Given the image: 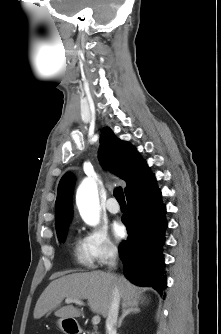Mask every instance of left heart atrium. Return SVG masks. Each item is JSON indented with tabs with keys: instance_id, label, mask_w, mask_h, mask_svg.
Segmentation results:
<instances>
[{
	"instance_id": "obj_1",
	"label": "left heart atrium",
	"mask_w": 221,
	"mask_h": 334,
	"mask_svg": "<svg viewBox=\"0 0 221 334\" xmlns=\"http://www.w3.org/2000/svg\"><path fill=\"white\" fill-rule=\"evenodd\" d=\"M112 233H113L114 237L118 240L123 238V236L125 234L124 226L119 222H115L112 225Z\"/></svg>"
}]
</instances>
